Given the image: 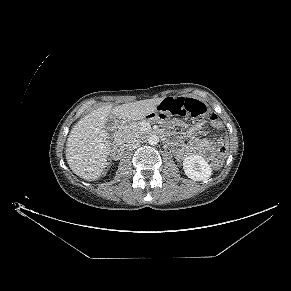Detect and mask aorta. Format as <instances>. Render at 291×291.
I'll return each instance as SVG.
<instances>
[{
  "instance_id": "obj_1",
  "label": "aorta",
  "mask_w": 291,
  "mask_h": 291,
  "mask_svg": "<svg viewBox=\"0 0 291 291\" xmlns=\"http://www.w3.org/2000/svg\"><path fill=\"white\" fill-rule=\"evenodd\" d=\"M148 143L152 146H155L159 143V138L158 136L156 135H151L149 138H148Z\"/></svg>"
}]
</instances>
